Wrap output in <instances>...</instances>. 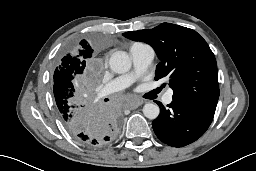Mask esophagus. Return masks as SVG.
<instances>
[{"mask_svg": "<svg viewBox=\"0 0 256 171\" xmlns=\"http://www.w3.org/2000/svg\"><path fill=\"white\" fill-rule=\"evenodd\" d=\"M143 103H144L143 100H139V99L131 100L127 103V108L133 110L138 108Z\"/></svg>", "mask_w": 256, "mask_h": 171, "instance_id": "34e87169", "label": "esophagus"}]
</instances>
